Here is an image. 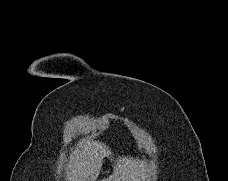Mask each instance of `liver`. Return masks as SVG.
<instances>
[{"label": "liver", "mask_w": 228, "mask_h": 181, "mask_svg": "<svg viewBox=\"0 0 228 181\" xmlns=\"http://www.w3.org/2000/svg\"><path fill=\"white\" fill-rule=\"evenodd\" d=\"M112 163V175L103 181H143L145 165L138 157H118L114 161L111 149L105 143L83 139L73 151L68 181H97L103 159Z\"/></svg>", "instance_id": "6515ba94"}]
</instances>
